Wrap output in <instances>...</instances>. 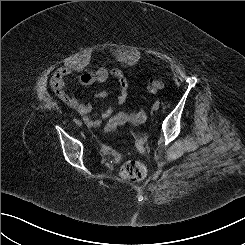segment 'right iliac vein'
Returning <instances> with one entry per match:
<instances>
[{"label":"right iliac vein","mask_w":245,"mask_h":245,"mask_svg":"<svg viewBox=\"0 0 245 245\" xmlns=\"http://www.w3.org/2000/svg\"><path fill=\"white\" fill-rule=\"evenodd\" d=\"M77 125H78V126H81V125H82V122H81V121H78V122H77Z\"/></svg>","instance_id":"obj_1"}]
</instances>
